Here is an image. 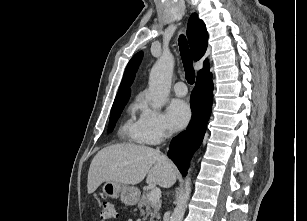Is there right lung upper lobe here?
<instances>
[{
	"label": "right lung upper lobe",
	"mask_w": 307,
	"mask_h": 221,
	"mask_svg": "<svg viewBox=\"0 0 307 221\" xmlns=\"http://www.w3.org/2000/svg\"><path fill=\"white\" fill-rule=\"evenodd\" d=\"M187 36L194 60L201 59L207 49L208 33L204 22L198 18L196 13H193L188 21ZM142 56L143 52H139L129 61L114 103L129 99L130 86L133 83ZM200 77H211L207 60L204 62V69L197 73V78Z\"/></svg>",
	"instance_id": "right-lung-upper-lobe-1"
}]
</instances>
